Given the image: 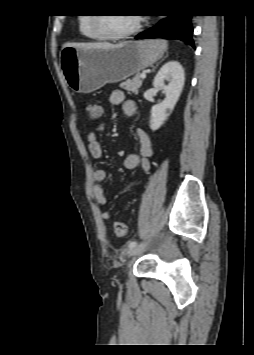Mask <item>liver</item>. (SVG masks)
I'll return each instance as SVG.
<instances>
[{
  "mask_svg": "<svg viewBox=\"0 0 254 355\" xmlns=\"http://www.w3.org/2000/svg\"><path fill=\"white\" fill-rule=\"evenodd\" d=\"M122 44L113 45L106 42H96V43H66L64 47L72 46L80 49H92V48H114Z\"/></svg>",
  "mask_w": 254,
  "mask_h": 355,
  "instance_id": "6515ba94",
  "label": "liver"
}]
</instances>
